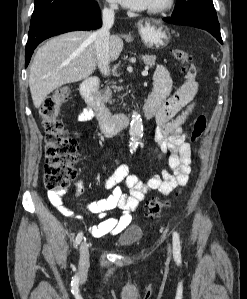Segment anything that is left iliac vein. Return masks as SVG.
Returning a JSON list of instances; mask_svg holds the SVG:
<instances>
[{
	"mask_svg": "<svg viewBox=\"0 0 247 299\" xmlns=\"http://www.w3.org/2000/svg\"><path fill=\"white\" fill-rule=\"evenodd\" d=\"M168 252H171V247L170 246L168 247Z\"/></svg>",
	"mask_w": 247,
	"mask_h": 299,
	"instance_id": "left-iliac-vein-1",
	"label": "left iliac vein"
}]
</instances>
